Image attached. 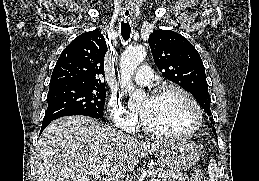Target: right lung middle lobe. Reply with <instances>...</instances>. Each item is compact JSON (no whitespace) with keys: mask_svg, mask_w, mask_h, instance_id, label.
<instances>
[{"mask_svg":"<svg viewBox=\"0 0 259 181\" xmlns=\"http://www.w3.org/2000/svg\"><path fill=\"white\" fill-rule=\"evenodd\" d=\"M105 97V87L75 84L49 86L48 108L42 123L72 113H84L102 118Z\"/></svg>","mask_w":259,"mask_h":181,"instance_id":"obj_1","label":"right lung middle lobe"}]
</instances>
